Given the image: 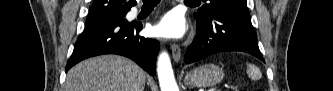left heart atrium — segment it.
Listing matches in <instances>:
<instances>
[{
  "instance_id": "left-heart-atrium-1",
  "label": "left heart atrium",
  "mask_w": 333,
  "mask_h": 91,
  "mask_svg": "<svg viewBox=\"0 0 333 91\" xmlns=\"http://www.w3.org/2000/svg\"><path fill=\"white\" fill-rule=\"evenodd\" d=\"M185 30L184 18L178 13L170 12L153 27V35L163 39H178L184 35Z\"/></svg>"
}]
</instances>
